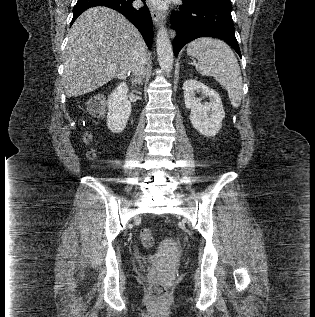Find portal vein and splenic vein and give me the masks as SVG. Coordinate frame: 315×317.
<instances>
[{"label":"portal vein and splenic vein","instance_id":"1","mask_svg":"<svg viewBox=\"0 0 315 317\" xmlns=\"http://www.w3.org/2000/svg\"><path fill=\"white\" fill-rule=\"evenodd\" d=\"M111 70H112V71H114V72H116V71H117V69H116V68H114V67H111Z\"/></svg>","mask_w":315,"mask_h":317}]
</instances>
